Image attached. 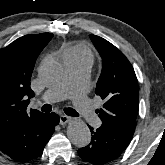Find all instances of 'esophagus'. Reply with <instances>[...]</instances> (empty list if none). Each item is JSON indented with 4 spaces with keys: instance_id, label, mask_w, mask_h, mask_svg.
<instances>
[{
    "instance_id": "obj_1",
    "label": "esophagus",
    "mask_w": 165,
    "mask_h": 165,
    "mask_svg": "<svg viewBox=\"0 0 165 165\" xmlns=\"http://www.w3.org/2000/svg\"><path fill=\"white\" fill-rule=\"evenodd\" d=\"M70 120H71V118L69 116H66V115H61L60 116V123L62 125L67 124Z\"/></svg>"
}]
</instances>
